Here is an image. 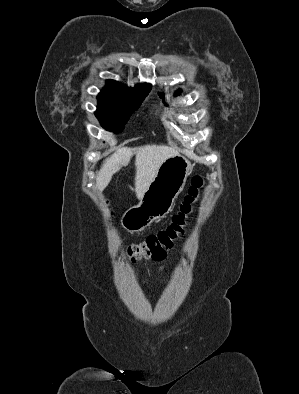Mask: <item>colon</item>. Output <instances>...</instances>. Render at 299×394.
<instances>
[{"instance_id":"colon-1","label":"colon","mask_w":299,"mask_h":394,"mask_svg":"<svg viewBox=\"0 0 299 394\" xmlns=\"http://www.w3.org/2000/svg\"><path fill=\"white\" fill-rule=\"evenodd\" d=\"M203 185V177L200 175L194 176L179 211L173 216L170 224L140 242L129 245L125 249L126 255L133 261L143 258L158 260L165 257L167 252L174 247L176 241L184 234L189 216ZM106 205H109L108 201H106Z\"/></svg>"}]
</instances>
